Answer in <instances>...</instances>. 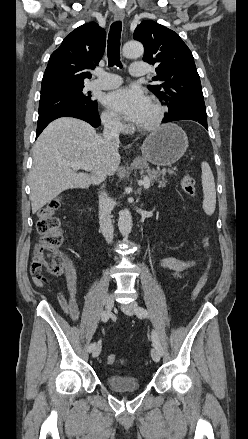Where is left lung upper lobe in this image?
<instances>
[{
	"instance_id": "left-lung-upper-lobe-1",
	"label": "left lung upper lobe",
	"mask_w": 248,
	"mask_h": 439,
	"mask_svg": "<svg viewBox=\"0 0 248 439\" xmlns=\"http://www.w3.org/2000/svg\"><path fill=\"white\" fill-rule=\"evenodd\" d=\"M133 38L144 46L143 61L155 65L157 76L148 89L164 101L172 114L180 109L206 111L193 55L180 36L152 20L142 21Z\"/></svg>"
}]
</instances>
